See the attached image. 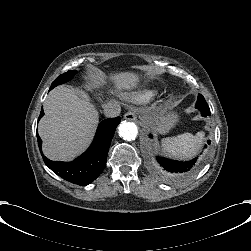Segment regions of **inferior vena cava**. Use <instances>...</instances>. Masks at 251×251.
Wrapping results in <instances>:
<instances>
[{"instance_id":"602c4592","label":"inferior vena cava","mask_w":251,"mask_h":251,"mask_svg":"<svg viewBox=\"0 0 251 251\" xmlns=\"http://www.w3.org/2000/svg\"><path fill=\"white\" fill-rule=\"evenodd\" d=\"M102 108L108 117L118 116L121 111V106L117 101H109L103 104Z\"/></svg>"}]
</instances>
